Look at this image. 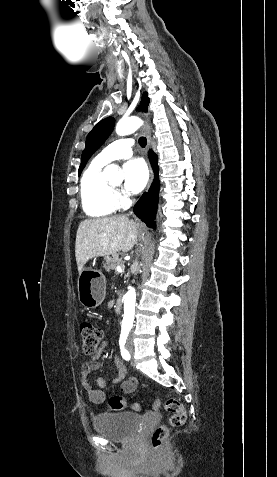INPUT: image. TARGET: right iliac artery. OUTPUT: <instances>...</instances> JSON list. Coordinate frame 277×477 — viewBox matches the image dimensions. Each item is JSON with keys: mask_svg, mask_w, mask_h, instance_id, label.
Returning a JSON list of instances; mask_svg holds the SVG:
<instances>
[{"mask_svg": "<svg viewBox=\"0 0 277 477\" xmlns=\"http://www.w3.org/2000/svg\"><path fill=\"white\" fill-rule=\"evenodd\" d=\"M128 336V331L127 330H122L121 335H120V349H121V355L125 360H130V354L127 349H125L124 345L126 342Z\"/></svg>", "mask_w": 277, "mask_h": 477, "instance_id": "obj_1", "label": "right iliac artery"}]
</instances>
